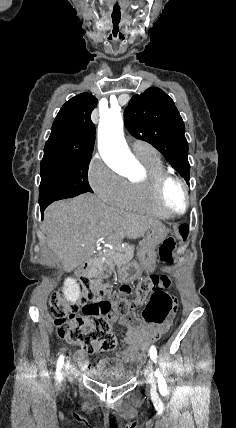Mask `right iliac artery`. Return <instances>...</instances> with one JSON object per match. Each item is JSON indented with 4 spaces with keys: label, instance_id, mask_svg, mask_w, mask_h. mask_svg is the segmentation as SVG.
Wrapping results in <instances>:
<instances>
[{
    "label": "right iliac artery",
    "instance_id": "right-iliac-artery-1",
    "mask_svg": "<svg viewBox=\"0 0 236 428\" xmlns=\"http://www.w3.org/2000/svg\"><path fill=\"white\" fill-rule=\"evenodd\" d=\"M63 364H64V356L60 355V357L58 359V362H57V369H56V371H57L56 373L57 374H60L59 371H61V368L63 367Z\"/></svg>",
    "mask_w": 236,
    "mask_h": 428
}]
</instances>
